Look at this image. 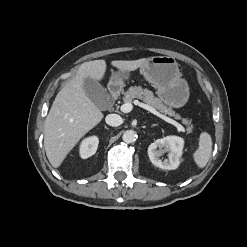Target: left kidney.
Wrapping results in <instances>:
<instances>
[{"instance_id": "5707ae66", "label": "left kidney", "mask_w": 247, "mask_h": 247, "mask_svg": "<svg viewBox=\"0 0 247 247\" xmlns=\"http://www.w3.org/2000/svg\"><path fill=\"white\" fill-rule=\"evenodd\" d=\"M184 140L177 136H167L157 139L148 147L150 161L157 167L164 170H174L180 164ZM164 148V150H162ZM168 152V159L162 161L159 157L162 153Z\"/></svg>"}]
</instances>
